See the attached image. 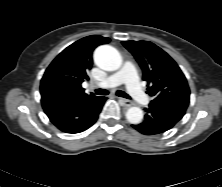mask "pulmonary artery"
Returning a JSON list of instances; mask_svg holds the SVG:
<instances>
[{
	"instance_id": "obj_1",
	"label": "pulmonary artery",
	"mask_w": 222,
	"mask_h": 187,
	"mask_svg": "<svg viewBox=\"0 0 222 187\" xmlns=\"http://www.w3.org/2000/svg\"><path fill=\"white\" fill-rule=\"evenodd\" d=\"M122 83L126 84L128 92L139 104L147 105L149 103V97L141 88L138 73L134 65L130 62H125L120 70L97 83V85L101 87H113Z\"/></svg>"
}]
</instances>
